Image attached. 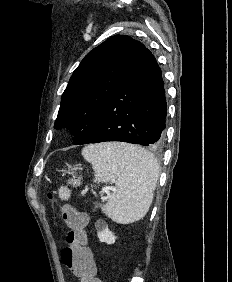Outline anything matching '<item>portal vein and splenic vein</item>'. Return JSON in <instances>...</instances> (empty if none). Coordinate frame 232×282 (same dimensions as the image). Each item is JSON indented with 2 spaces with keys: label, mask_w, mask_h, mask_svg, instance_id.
Returning <instances> with one entry per match:
<instances>
[{
  "label": "portal vein and splenic vein",
  "mask_w": 232,
  "mask_h": 282,
  "mask_svg": "<svg viewBox=\"0 0 232 282\" xmlns=\"http://www.w3.org/2000/svg\"><path fill=\"white\" fill-rule=\"evenodd\" d=\"M107 189H108V188H103L102 190H103V191H107Z\"/></svg>",
  "instance_id": "portal-vein-and-splenic-vein-1"
}]
</instances>
